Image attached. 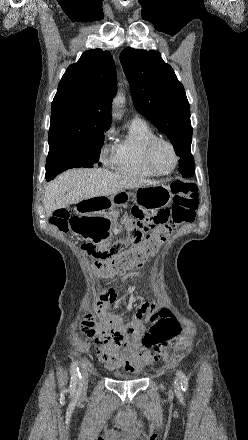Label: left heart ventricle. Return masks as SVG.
Segmentation results:
<instances>
[{"label": "left heart ventricle", "instance_id": "b2bd125f", "mask_svg": "<svg viewBox=\"0 0 248 440\" xmlns=\"http://www.w3.org/2000/svg\"><path fill=\"white\" fill-rule=\"evenodd\" d=\"M153 163L160 171H169L174 164V156L171 149L165 145H158L153 153Z\"/></svg>", "mask_w": 248, "mask_h": 440}]
</instances>
